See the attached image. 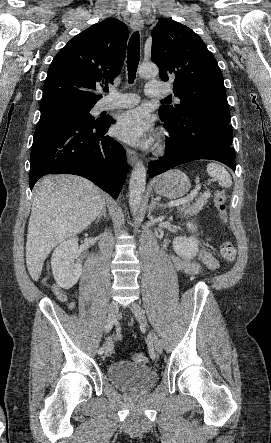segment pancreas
<instances>
[{
    "instance_id": "cf45deb5",
    "label": "pancreas",
    "mask_w": 271,
    "mask_h": 443,
    "mask_svg": "<svg viewBox=\"0 0 271 443\" xmlns=\"http://www.w3.org/2000/svg\"><path fill=\"white\" fill-rule=\"evenodd\" d=\"M209 198H211L210 192H204V194H201L200 198H198L196 204H192V206H186V204H184L182 208H179V212H183V214H187V216H194V214H198L199 210H203Z\"/></svg>"
}]
</instances>
